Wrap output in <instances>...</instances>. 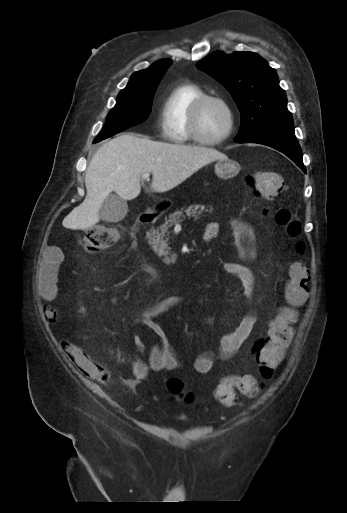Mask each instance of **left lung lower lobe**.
I'll return each instance as SVG.
<instances>
[{"mask_svg": "<svg viewBox=\"0 0 347 513\" xmlns=\"http://www.w3.org/2000/svg\"><path fill=\"white\" fill-rule=\"evenodd\" d=\"M239 143H258L272 147L293 160L305 173L300 145L294 134L293 125L266 128Z\"/></svg>", "mask_w": 347, "mask_h": 513, "instance_id": "1", "label": "left lung lower lobe"}]
</instances>
